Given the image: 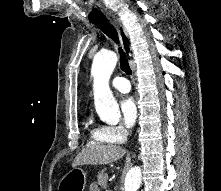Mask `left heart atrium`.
<instances>
[{"instance_id":"39dd6f15","label":"left heart atrium","mask_w":221,"mask_h":191,"mask_svg":"<svg viewBox=\"0 0 221 191\" xmlns=\"http://www.w3.org/2000/svg\"><path fill=\"white\" fill-rule=\"evenodd\" d=\"M120 107L125 125L128 128L133 127L138 116V109L135 98L132 96H126L122 99Z\"/></svg>"}]
</instances>
